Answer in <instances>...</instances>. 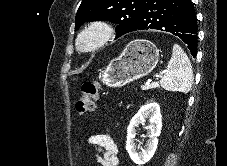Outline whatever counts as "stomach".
<instances>
[{
	"label": "stomach",
	"instance_id": "obj_1",
	"mask_svg": "<svg viewBox=\"0 0 227 166\" xmlns=\"http://www.w3.org/2000/svg\"><path fill=\"white\" fill-rule=\"evenodd\" d=\"M158 60L159 50L152 42L133 40L102 71L101 81L109 87H122L151 73Z\"/></svg>",
	"mask_w": 227,
	"mask_h": 166
}]
</instances>
